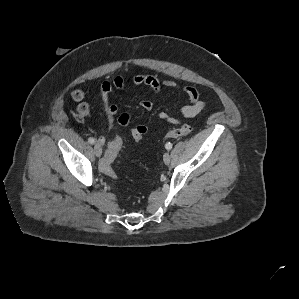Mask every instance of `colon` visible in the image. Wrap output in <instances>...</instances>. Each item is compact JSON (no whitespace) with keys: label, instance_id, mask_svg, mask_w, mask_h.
I'll return each mask as SVG.
<instances>
[{"label":"colon","instance_id":"colon-1","mask_svg":"<svg viewBox=\"0 0 299 299\" xmlns=\"http://www.w3.org/2000/svg\"><path fill=\"white\" fill-rule=\"evenodd\" d=\"M192 132V128L189 125H181L177 128L171 129L167 132L166 138L176 139L180 137H184L189 135ZM146 131L140 127H133L130 131L131 138L135 142H140L145 136ZM124 144V138L122 135H116L108 144L107 150L105 152L104 157L100 162V170L101 172L111 180L117 178L116 172L113 168V163L122 150Z\"/></svg>","mask_w":299,"mask_h":299}]
</instances>
